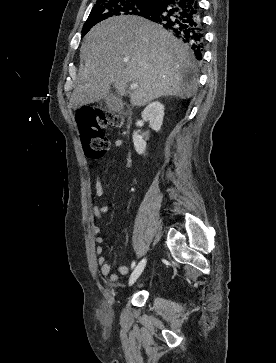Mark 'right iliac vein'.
<instances>
[{
	"label": "right iliac vein",
	"mask_w": 276,
	"mask_h": 363,
	"mask_svg": "<svg viewBox=\"0 0 276 363\" xmlns=\"http://www.w3.org/2000/svg\"><path fill=\"white\" fill-rule=\"evenodd\" d=\"M146 261L147 259L144 258L142 259L139 264L136 266V268L134 269V271L132 272L131 276H130V279H129V285L131 286L132 284H134V282L137 280V278L140 276V274L142 273H138L139 269L141 266L145 267L146 265Z\"/></svg>",
	"instance_id": "right-iliac-vein-1"
}]
</instances>
